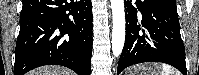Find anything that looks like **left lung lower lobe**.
I'll return each mask as SVG.
<instances>
[{
  "instance_id": "left-lung-lower-lobe-1",
  "label": "left lung lower lobe",
  "mask_w": 199,
  "mask_h": 75,
  "mask_svg": "<svg viewBox=\"0 0 199 75\" xmlns=\"http://www.w3.org/2000/svg\"><path fill=\"white\" fill-rule=\"evenodd\" d=\"M125 1L126 38L117 74L143 62H162L187 74L175 0ZM142 20L137 19V12Z\"/></svg>"
}]
</instances>
